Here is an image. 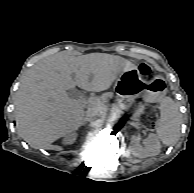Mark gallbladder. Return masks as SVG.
<instances>
[{
	"label": "gallbladder",
	"instance_id": "gallbladder-1",
	"mask_svg": "<svg viewBox=\"0 0 194 193\" xmlns=\"http://www.w3.org/2000/svg\"><path fill=\"white\" fill-rule=\"evenodd\" d=\"M73 93H75V90H73V89H71V90L68 91V94H69L70 96H72Z\"/></svg>",
	"mask_w": 194,
	"mask_h": 193
}]
</instances>
